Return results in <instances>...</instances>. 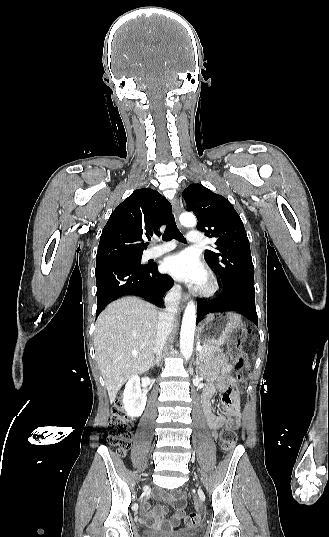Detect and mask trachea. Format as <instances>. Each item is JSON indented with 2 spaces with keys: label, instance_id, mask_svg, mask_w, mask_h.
Instances as JSON below:
<instances>
[{
  "label": "trachea",
  "instance_id": "obj_1",
  "mask_svg": "<svg viewBox=\"0 0 329 537\" xmlns=\"http://www.w3.org/2000/svg\"><path fill=\"white\" fill-rule=\"evenodd\" d=\"M171 238H175L181 242H186L185 238L183 237V235L180 233L179 229L176 226L173 215L169 218V221L166 224V230H165L164 235L162 236V240L167 241Z\"/></svg>",
  "mask_w": 329,
  "mask_h": 537
}]
</instances>
